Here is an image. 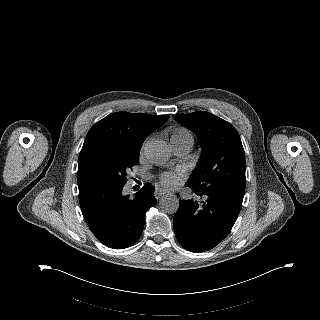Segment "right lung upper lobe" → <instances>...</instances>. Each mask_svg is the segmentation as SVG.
I'll return each instance as SVG.
<instances>
[{"label":"right lung upper lobe","instance_id":"obj_1","mask_svg":"<svg viewBox=\"0 0 320 320\" xmlns=\"http://www.w3.org/2000/svg\"><path fill=\"white\" fill-rule=\"evenodd\" d=\"M168 118V115L117 112L97 122L89 130L79 155L78 181L90 177L86 167L95 153L100 150H140L146 137Z\"/></svg>","mask_w":320,"mask_h":320}]
</instances>
